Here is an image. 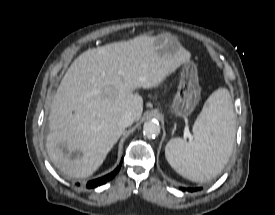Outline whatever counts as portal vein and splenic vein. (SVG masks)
<instances>
[{
	"mask_svg": "<svg viewBox=\"0 0 275 215\" xmlns=\"http://www.w3.org/2000/svg\"><path fill=\"white\" fill-rule=\"evenodd\" d=\"M184 136H185V137H188V138H191V137H192L191 134H190V132H189L188 127H186L185 130H184Z\"/></svg>",
	"mask_w": 275,
	"mask_h": 215,
	"instance_id": "obj_1",
	"label": "portal vein and splenic vein"
}]
</instances>
